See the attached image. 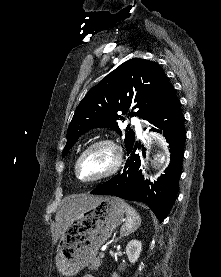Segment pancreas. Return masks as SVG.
<instances>
[{
	"mask_svg": "<svg viewBox=\"0 0 221 277\" xmlns=\"http://www.w3.org/2000/svg\"><path fill=\"white\" fill-rule=\"evenodd\" d=\"M102 264V257L99 256L98 258H96L91 265L88 267L90 270H98V268L101 266Z\"/></svg>",
	"mask_w": 221,
	"mask_h": 277,
	"instance_id": "obj_1",
	"label": "pancreas"
}]
</instances>
